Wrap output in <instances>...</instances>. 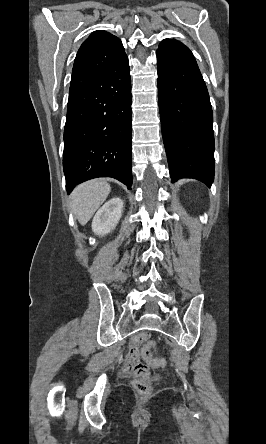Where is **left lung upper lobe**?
<instances>
[{
	"instance_id": "5c2ea615",
	"label": "left lung upper lobe",
	"mask_w": 266,
	"mask_h": 444,
	"mask_svg": "<svg viewBox=\"0 0 266 444\" xmlns=\"http://www.w3.org/2000/svg\"><path fill=\"white\" fill-rule=\"evenodd\" d=\"M157 55H162L180 63L197 65L190 49L175 39L163 40L159 45Z\"/></svg>"
}]
</instances>
